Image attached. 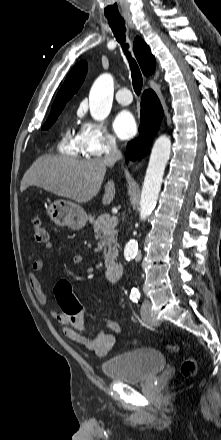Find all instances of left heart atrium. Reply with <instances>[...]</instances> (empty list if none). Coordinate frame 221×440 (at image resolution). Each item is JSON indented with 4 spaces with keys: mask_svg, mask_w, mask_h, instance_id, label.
Listing matches in <instances>:
<instances>
[{
    "mask_svg": "<svg viewBox=\"0 0 221 440\" xmlns=\"http://www.w3.org/2000/svg\"><path fill=\"white\" fill-rule=\"evenodd\" d=\"M113 129L121 139L132 137L137 129L135 119L129 111H121L113 121Z\"/></svg>",
    "mask_w": 221,
    "mask_h": 440,
    "instance_id": "39dd6f15",
    "label": "left heart atrium"
}]
</instances>
